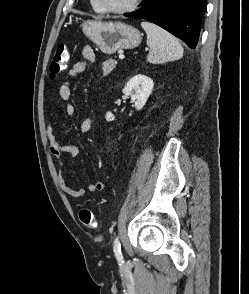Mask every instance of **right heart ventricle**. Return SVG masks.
I'll use <instances>...</instances> for the list:
<instances>
[{
  "label": "right heart ventricle",
  "mask_w": 249,
  "mask_h": 294,
  "mask_svg": "<svg viewBox=\"0 0 249 294\" xmlns=\"http://www.w3.org/2000/svg\"><path fill=\"white\" fill-rule=\"evenodd\" d=\"M91 3V7L95 12L101 13V10L97 7V5L95 4V2L93 0H90Z\"/></svg>",
  "instance_id": "1"
}]
</instances>
